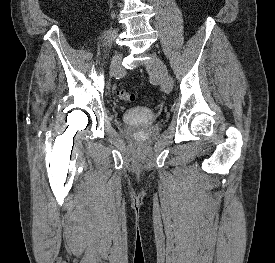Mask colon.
Returning a JSON list of instances; mask_svg holds the SVG:
<instances>
[{"label":"colon","mask_w":275,"mask_h":263,"mask_svg":"<svg viewBox=\"0 0 275 263\" xmlns=\"http://www.w3.org/2000/svg\"><path fill=\"white\" fill-rule=\"evenodd\" d=\"M118 97L122 100V101H126V102H131L135 100V95L132 93H129L126 90H120L118 92Z\"/></svg>","instance_id":"1"}]
</instances>
